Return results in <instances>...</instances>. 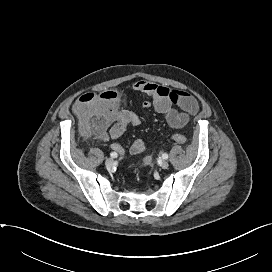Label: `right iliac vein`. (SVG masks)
Instances as JSON below:
<instances>
[{
	"label": "right iliac vein",
	"mask_w": 272,
	"mask_h": 272,
	"mask_svg": "<svg viewBox=\"0 0 272 272\" xmlns=\"http://www.w3.org/2000/svg\"><path fill=\"white\" fill-rule=\"evenodd\" d=\"M113 164H114V161H113V159H111V158H108V159L105 161V165H106L107 168H111V167L113 166Z\"/></svg>",
	"instance_id": "63e3f726"
}]
</instances>
